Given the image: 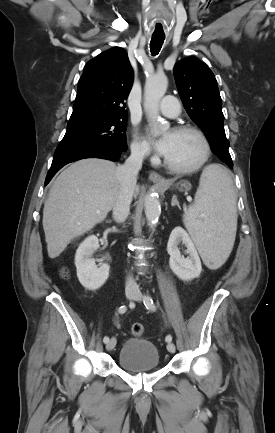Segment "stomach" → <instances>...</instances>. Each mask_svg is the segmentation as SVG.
Here are the masks:
<instances>
[{
	"label": "stomach",
	"instance_id": "obj_1",
	"mask_svg": "<svg viewBox=\"0 0 275 433\" xmlns=\"http://www.w3.org/2000/svg\"><path fill=\"white\" fill-rule=\"evenodd\" d=\"M176 188L180 191V192H187L191 189L190 184L187 181H181L176 185Z\"/></svg>",
	"mask_w": 275,
	"mask_h": 433
}]
</instances>
